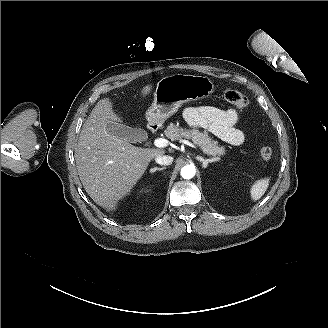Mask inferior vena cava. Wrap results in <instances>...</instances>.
<instances>
[{
  "label": "inferior vena cava",
  "mask_w": 328,
  "mask_h": 328,
  "mask_svg": "<svg viewBox=\"0 0 328 328\" xmlns=\"http://www.w3.org/2000/svg\"><path fill=\"white\" fill-rule=\"evenodd\" d=\"M156 163L160 164V165H170L173 162V157L169 156V155H161V156H157L155 158Z\"/></svg>",
  "instance_id": "obj_1"
}]
</instances>
